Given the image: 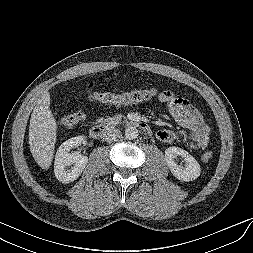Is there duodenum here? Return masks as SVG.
Segmentation results:
<instances>
[{
    "mask_svg": "<svg viewBox=\"0 0 253 253\" xmlns=\"http://www.w3.org/2000/svg\"><path fill=\"white\" fill-rule=\"evenodd\" d=\"M118 122L124 125L135 127L141 131L150 134L152 132L151 127L141 120H130L125 117L119 118ZM110 124L107 122L97 123L90 128V136L94 139L103 138L109 131Z\"/></svg>",
    "mask_w": 253,
    "mask_h": 253,
    "instance_id": "410a0bca",
    "label": "duodenum"
}]
</instances>
